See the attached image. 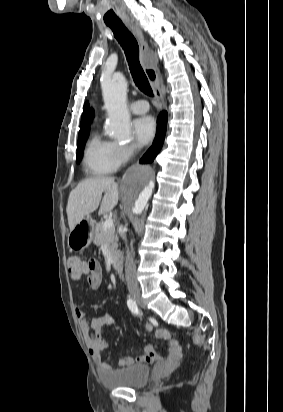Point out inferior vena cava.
<instances>
[{
  "label": "inferior vena cava",
  "instance_id": "inferior-vena-cava-1",
  "mask_svg": "<svg viewBox=\"0 0 283 412\" xmlns=\"http://www.w3.org/2000/svg\"><path fill=\"white\" fill-rule=\"evenodd\" d=\"M122 239L125 242L126 245V259H125V276H126V281L128 286H137V281H136V266L134 264L133 257L129 251V247L127 244V237L125 233L121 234Z\"/></svg>",
  "mask_w": 283,
  "mask_h": 412
}]
</instances>
